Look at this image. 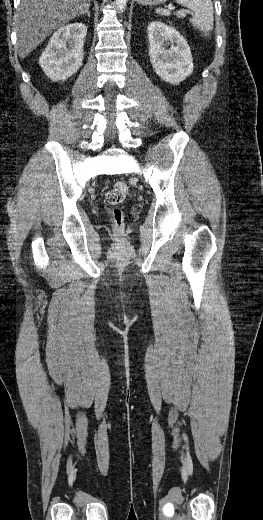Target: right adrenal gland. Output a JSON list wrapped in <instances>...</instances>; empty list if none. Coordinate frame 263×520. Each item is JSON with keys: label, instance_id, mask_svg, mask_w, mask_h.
<instances>
[{"label": "right adrenal gland", "instance_id": "obj_1", "mask_svg": "<svg viewBox=\"0 0 263 520\" xmlns=\"http://www.w3.org/2000/svg\"><path fill=\"white\" fill-rule=\"evenodd\" d=\"M82 15H83V16H84V15H87L88 17H90V11H89V8H88V9L85 11V13L82 14Z\"/></svg>", "mask_w": 263, "mask_h": 520}]
</instances>
